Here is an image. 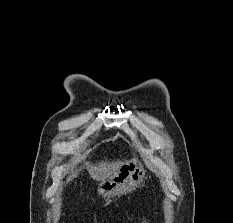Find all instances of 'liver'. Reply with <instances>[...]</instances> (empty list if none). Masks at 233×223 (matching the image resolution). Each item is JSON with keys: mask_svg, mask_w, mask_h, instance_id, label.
I'll return each instance as SVG.
<instances>
[{"mask_svg": "<svg viewBox=\"0 0 233 223\" xmlns=\"http://www.w3.org/2000/svg\"><path fill=\"white\" fill-rule=\"evenodd\" d=\"M121 161H108V159H101V161H96V163H92V161H84L80 167H72L69 169L70 175L66 177V181H72L74 177H79L81 175L83 169H86L87 173H89L92 179H103V177H109L117 167H119Z\"/></svg>", "mask_w": 233, "mask_h": 223, "instance_id": "liver-1", "label": "liver"}]
</instances>
